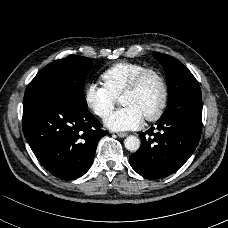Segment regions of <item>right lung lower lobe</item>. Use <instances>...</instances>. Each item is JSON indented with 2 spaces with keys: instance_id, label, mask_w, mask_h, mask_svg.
<instances>
[{
  "instance_id": "right-lung-lower-lobe-1",
  "label": "right lung lower lobe",
  "mask_w": 228,
  "mask_h": 228,
  "mask_svg": "<svg viewBox=\"0 0 228 228\" xmlns=\"http://www.w3.org/2000/svg\"><path fill=\"white\" fill-rule=\"evenodd\" d=\"M22 125L39 162L62 180L88 171L99 140L108 133L87 107L54 93L24 97Z\"/></svg>"
}]
</instances>
